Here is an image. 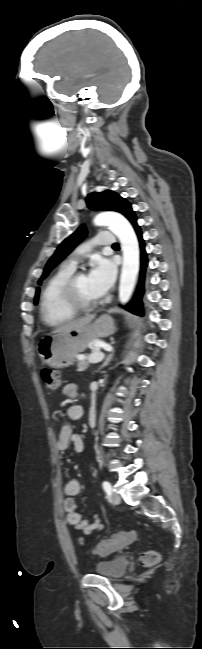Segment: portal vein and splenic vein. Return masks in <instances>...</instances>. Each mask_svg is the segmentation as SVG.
I'll list each match as a JSON object with an SVG mask.
<instances>
[{"instance_id":"1","label":"portal vein and splenic vein","mask_w":202,"mask_h":649,"mask_svg":"<svg viewBox=\"0 0 202 649\" xmlns=\"http://www.w3.org/2000/svg\"><path fill=\"white\" fill-rule=\"evenodd\" d=\"M109 350H111V348ZM103 357H104V354H98V353L95 352L89 357V361H90V363L96 364V363L101 362ZM80 359L83 360L84 357H80Z\"/></svg>"}]
</instances>
